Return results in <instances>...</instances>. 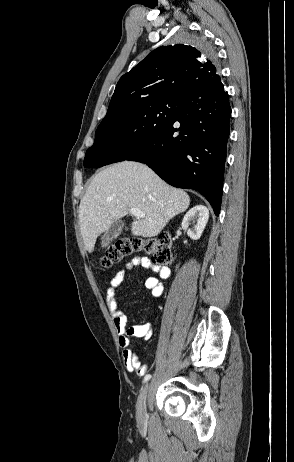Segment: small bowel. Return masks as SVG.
I'll use <instances>...</instances> for the list:
<instances>
[{
    "label": "small bowel",
    "instance_id": "1",
    "mask_svg": "<svg viewBox=\"0 0 294 462\" xmlns=\"http://www.w3.org/2000/svg\"><path fill=\"white\" fill-rule=\"evenodd\" d=\"M138 267L151 269L156 273V276L146 279L145 286L151 291L153 298H158L162 295L164 286L161 280L169 277L170 269L167 266L152 263L147 257H135L110 280L106 291V304L118 333V343L122 349V358L126 370L143 376L147 371V366L140 361L139 357L130 348L131 339L141 338L149 340L153 333L152 325L149 322H145L128 327L127 309L119 308L116 295L118 288L125 281L126 273L132 272Z\"/></svg>",
    "mask_w": 294,
    "mask_h": 462
}]
</instances>
